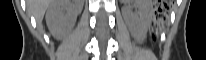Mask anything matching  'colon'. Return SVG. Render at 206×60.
Wrapping results in <instances>:
<instances>
[{
	"mask_svg": "<svg viewBox=\"0 0 206 60\" xmlns=\"http://www.w3.org/2000/svg\"><path fill=\"white\" fill-rule=\"evenodd\" d=\"M170 8V1L168 0H158L156 1L153 8V24L151 27V31L153 34H157L160 31L166 21V15Z\"/></svg>",
	"mask_w": 206,
	"mask_h": 60,
	"instance_id": "1",
	"label": "colon"
}]
</instances>
